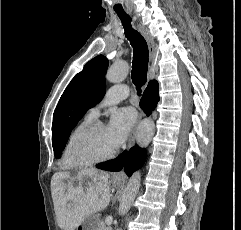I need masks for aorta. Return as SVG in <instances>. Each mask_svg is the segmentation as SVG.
I'll list each match as a JSON object with an SVG mask.
<instances>
[{"label":"aorta","instance_id":"1","mask_svg":"<svg viewBox=\"0 0 241 230\" xmlns=\"http://www.w3.org/2000/svg\"><path fill=\"white\" fill-rule=\"evenodd\" d=\"M129 65L126 61L115 62L107 71L106 79L110 83H120L128 75ZM155 125L150 119H144L137 130L136 141L141 148H146L154 135ZM141 183V172L136 171L130 177L126 187L124 188L120 200L118 212L120 215H125L132 206V203L139 191Z\"/></svg>","mask_w":241,"mask_h":230}]
</instances>
